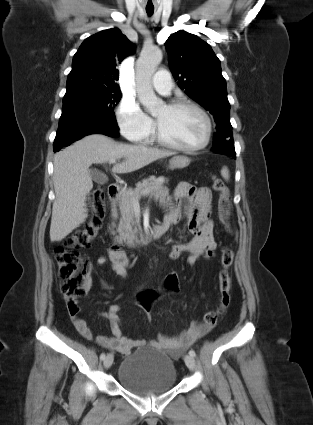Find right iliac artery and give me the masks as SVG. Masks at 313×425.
Returning a JSON list of instances; mask_svg holds the SVG:
<instances>
[{
  "instance_id": "1",
  "label": "right iliac artery",
  "mask_w": 313,
  "mask_h": 425,
  "mask_svg": "<svg viewBox=\"0 0 313 425\" xmlns=\"http://www.w3.org/2000/svg\"><path fill=\"white\" fill-rule=\"evenodd\" d=\"M100 359H101V360H104V359H105V353H102V354L100 355Z\"/></svg>"
}]
</instances>
